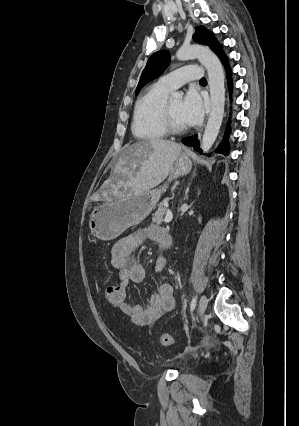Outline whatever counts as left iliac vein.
Masks as SVG:
<instances>
[{
	"instance_id": "4c4485c4",
	"label": "left iliac vein",
	"mask_w": 299,
	"mask_h": 426,
	"mask_svg": "<svg viewBox=\"0 0 299 426\" xmlns=\"http://www.w3.org/2000/svg\"><path fill=\"white\" fill-rule=\"evenodd\" d=\"M207 307V298L205 295H202L199 304H198V315L202 316L206 310Z\"/></svg>"
}]
</instances>
